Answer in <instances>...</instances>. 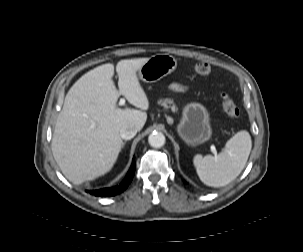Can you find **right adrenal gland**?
Segmentation results:
<instances>
[{"label":"right adrenal gland","mask_w":303,"mask_h":252,"mask_svg":"<svg viewBox=\"0 0 303 252\" xmlns=\"http://www.w3.org/2000/svg\"><path fill=\"white\" fill-rule=\"evenodd\" d=\"M125 145V142L122 143V147Z\"/></svg>","instance_id":"obj_1"}]
</instances>
